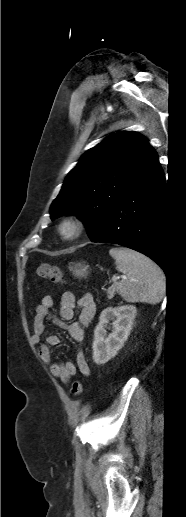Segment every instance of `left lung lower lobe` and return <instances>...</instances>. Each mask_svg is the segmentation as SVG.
Segmentation results:
<instances>
[{"label":"left lung lower lobe","instance_id":"1","mask_svg":"<svg viewBox=\"0 0 186 517\" xmlns=\"http://www.w3.org/2000/svg\"><path fill=\"white\" fill-rule=\"evenodd\" d=\"M165 176L158 157L106 215L93 242L119 244L154 260L167 274Z\"/></svg>","mask_w":186,"mask_h":517}]
</instances>
